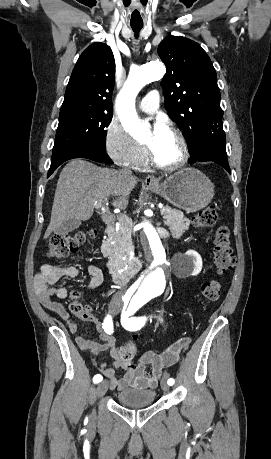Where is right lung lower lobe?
Returning <instances> with one entry per match:
<instances>
[{
    "mask_svg": "<svg viewBox=\"0 0 271 459\" xmlns=\"http://www.w3.org/2000/svg\"><path fill=\"white\" fill-rule=\"evenodd\" d=\"M73 158H87L101 163H113L109 156L106 154L105 148L85 144H76L53 152L51 166L47 176L49 177L63 162Z\"/></svg>",
    "mask_w": 271,
    "mask_h": 459,
    "instance_id": "1",
    "label": "right lung lower lobe"
}]
</instances>
